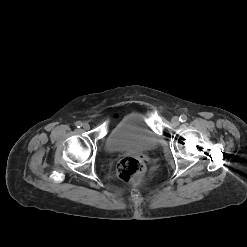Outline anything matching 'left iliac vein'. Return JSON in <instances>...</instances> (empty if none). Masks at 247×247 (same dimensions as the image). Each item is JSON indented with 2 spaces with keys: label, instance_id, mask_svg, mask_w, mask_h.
Here are the masks:
<instances>
[{
  "label": "left iliac vein",
  "instance_id": "1",
  "mask_svg": "<svg viewBox=\"0 0 247 247\" xmlns=\"http://www.w3.org/2000/svg\"><path fill=\"white\" fill-rule=\"evenodd\" d=\"M171 121H172V124L175 126L179 125L180 123L179 117L177 116L173 117Z\"/></svg>",
  "mask_w": 247,
  "mask_h": 247
}]
</instances>
